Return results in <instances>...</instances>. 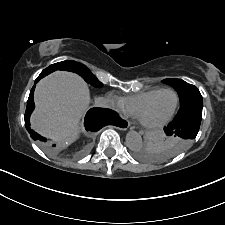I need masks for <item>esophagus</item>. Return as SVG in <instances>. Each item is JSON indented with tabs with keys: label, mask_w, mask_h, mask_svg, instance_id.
Here are the masks:
<instances>
[{
	"label": "esophagus",
	"mask_w": 225,
	"mask_h": 225,
	"mask_svg": "<svg viewBox=\"0 0 225 225\" xmlns=\"http://www.w3.org/2000/svg\"><path fill=\"white\" fill-rule=\"evenodd\" d=\"M130 126V122L123 118L122 121L118 124L117 128L120 130H127Z\"/></svg>",
	"instance_id": "1"
}]
</instances>
